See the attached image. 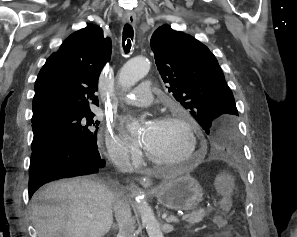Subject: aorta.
<instances>
[{
    "label": "aorta",
    "mask_w": 297,
    "mask_h": 237,
    "mask_svg": "<svg viewBox=\"0 0 297 237\" xmlns=\"http://www.w3.org/2000/svg\"><path fill=\"white\" fill-rule=\"evenodd\" d=\"M150 69L149 61L145 58H133L127 61L118 74L119 84L123 89L128 90L138 81L144 78ZM139 125L133 121L128 124V131L137 134ZM133 188V186H132ZM135 202L139 210L142 223L146 226L149 237H163L160 224L156 219L151 207L148 205L140 190L135 191Z\"/></svg>",
    "instance_id": "aorta-1"
}]
</instances>
